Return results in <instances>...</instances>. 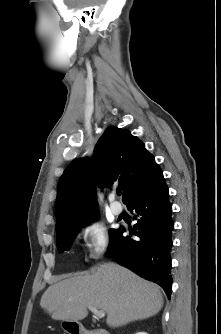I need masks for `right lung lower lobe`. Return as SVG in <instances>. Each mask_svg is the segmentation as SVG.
<instances>
[{"mask_svg": "<svg viewBox=\"0 0 221 334\" xmlns=\"http://www.w3.org/2000/svg\"><path fill=\"white\" fill-rule=\"evenodd\" d=\"M168 196V188L161 174L150 186L130 199L127 208L135 211V218H138L134 229L129 228L130 236L133 234L138 238L124 237V229L120 228L109 245L108 253L118 264L160 285L170 299V250L174 222Z\"/></svg>", "mask_w": 221, "mask_h": 334, "instance_id": "obj_1", "label": "right lung lower lobe"}]
</instances>
